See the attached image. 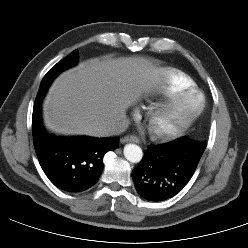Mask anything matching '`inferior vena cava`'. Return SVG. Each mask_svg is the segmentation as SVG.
Here are the masks:
<instances>
[{"mask_svg": "<svg viewBox=\"0 0 248 248\" xmlns=\"http://www.w3.org/2000/svg\"><path fill=\"white\" fill-rule=\"evenodd\" d=\"M128 125L129 120L126 115H122L117 122L106 129V136L119 135L127 129Z\"/></svg>", "mask_w": 248, "mask_h": 248, "instance_id": "1", "label": "inferior vena cava"}]
</instances>
